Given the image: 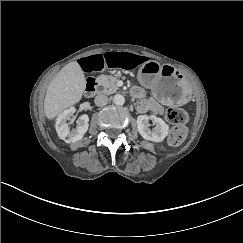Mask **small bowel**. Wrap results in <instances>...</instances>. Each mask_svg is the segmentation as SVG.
<instances>
[{
  "mask_svg": "<svg viewBox=\"0 0 243 243\" xmlns=\"http://www.w3.org/2000/svg\"><path fill=\"white\" fill-rule=\"evenodd\" d=\"M145 61L146 58L144 56L136 53L125 51H110L84 57L80 60V65L86 72H97L106 68L131 70L138 67ZM136 93L141 94V91L137 90ZM138 109L140 112H146L150 110L156 114L163 112L162 106L153 100L143 101L140 103Z\"/></svg>",
  "mask_w": 243,
  "mask_h": 243,
  "instance_id": "1",
  "label": "small bowel"
}]
</instances>
